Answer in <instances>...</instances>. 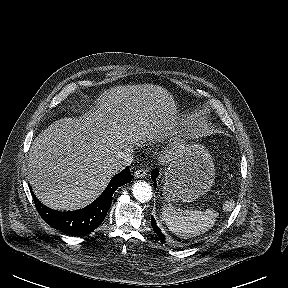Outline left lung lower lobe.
<instances>
[{
  "instance_id": "1",
  "label": "left lung lower lobe",
  "mask_w": 288,
  "mask_h": 288,
  "mask_svg": "<svg viewBox=\"0 0 288 288\" xmlns=\"http://www.w3.org/2000/svg\"><path fill=\"white\" fill-rule=\"evenodd\" d=\"M159 175V170L158 168H155L153 171H152V174H151V177L154 181V186L156 187V178L158 177ZM151 224H152V228L153 230L155 231V233L157 234V236L163 241L165 242V236L162 234L161 230L158 228V226L156 225V221L153 217H151Z\"/></svg>"
}]
</instances>
